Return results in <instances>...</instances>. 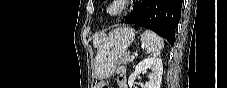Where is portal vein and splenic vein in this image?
I'll list each match as a JSON object with an SVG mask.
<instances>
[{
    "label": "portal vein and splenic vein",
    "instance_id": "obj_1",
    "mask_svg": "<svg viewBox=\"0 0 227 88\" xmlns=\"http://www.w3.org/2000/svg\"><path fill=\"white\" fill-rule=\"evenodd\" d=\"M131 58L134 59V54L131 55Z\"/></svg>",
    "mask_w": 227,
    "mask_h": 88
}]
</instances>
